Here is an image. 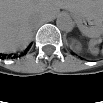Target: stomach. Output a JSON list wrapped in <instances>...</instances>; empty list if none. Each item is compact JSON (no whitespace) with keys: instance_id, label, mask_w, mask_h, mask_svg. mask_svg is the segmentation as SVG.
Instances as JSON below:
<instances>
[{"instance_id":"0dacf381","label":"stomach","mask_w":103,"mask_h":103,"mask_svg":"<svg viewBox=\"0 0 103 103\" xmlns=\"http://www.w3.org/2000/svg\"><path fill=\"white\" fill-rule=\"evenodd\" d=\"M76 1V0H73ZM79 30L88 37H98L103 28V4L98 0H82L71 5Z\"/></svg>"}]
</instances>
